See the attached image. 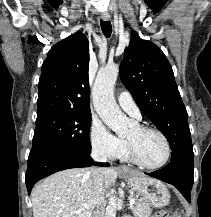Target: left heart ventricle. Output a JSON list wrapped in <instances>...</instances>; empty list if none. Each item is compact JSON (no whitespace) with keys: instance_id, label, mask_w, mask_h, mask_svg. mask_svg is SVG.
<instances>
[{"instance_id":"1","label":"left heart ventricle","mask_w":211,"mask_h":217,"mask_svg":"<svg viewBox=\"0 0 211 217\" xmlns=\"http://www.w3.org/2000/svg\"><path fill=\"white\" fill-rule=\"evenodd\" d=\"M140 159L149 165L161 163L166 156V146L163 139L154 132H141L135 128L127 136Z\"/></svg>"}]
</instances>
